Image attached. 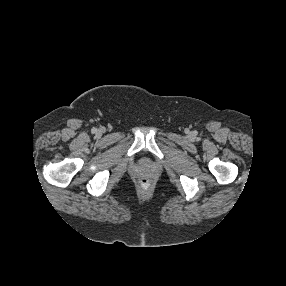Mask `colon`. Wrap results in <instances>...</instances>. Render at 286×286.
<instances>
[{
  "mask_svg": "<svg viewBox=\"0 0 286 286\" xmlns=\"http://www.w3.org/2000/svg\"><path fill=\"white\" fill-rule=\"evenodd\" d=\"M140 185L142 188H147L150 185V180L148 178H142L140 180Z\"/></svg>",
  "mask_w": 286,
  "mask_h": 286,
  "instance_id": "1",
  "label": "colon"
}]
</instances>
